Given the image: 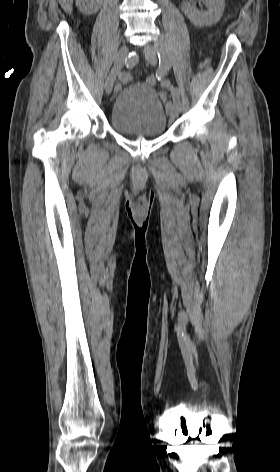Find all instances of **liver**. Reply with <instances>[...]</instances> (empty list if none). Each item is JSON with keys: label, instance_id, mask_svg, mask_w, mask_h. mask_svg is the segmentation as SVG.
Here are the masks:
<instances>
[{"label": "liver", "instance_id": "liver-1", "mask_svg": "<svg viewBox=\"0 0 280 472\" xmlns=\"http://www.w3.org/2000/svg\"><path fill=\"white\" fill-rule=\"evenodd\" d=\"M61 4V7L64 9L65 12L71 13L72 12V2L73 0H58Z\"/></svg>", "mask_w": 280, "mask_h": 472}]
</instances>
